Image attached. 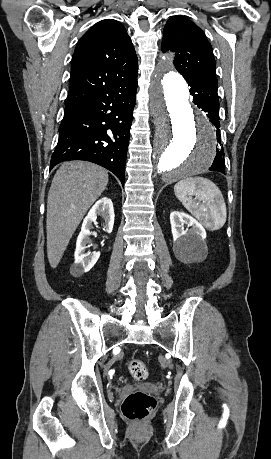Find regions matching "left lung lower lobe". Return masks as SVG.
<instances>
[{
	"label": "left lung lower lobe",
	"mask_w": 271,
	"mask_h": 459,
	"mask_svg": "<svg viewBox=\"0 0 271 459\" xmlns=\"http://www.w3.org/2000/svg\"><path fill=\"white\" fill-rule=\"evenodd\" d=\"M191 87L190 92L194 97L193 102L198 108H201L207 113L216 130V156L212 166L209 168L211 171H218L225 173V154L221 143L220 122H219V100L217 94V84L212 78L203 79L200 81L186 80Z\"/></svg>",
	"instance_id": "0a47b994"
}]
</instances>
